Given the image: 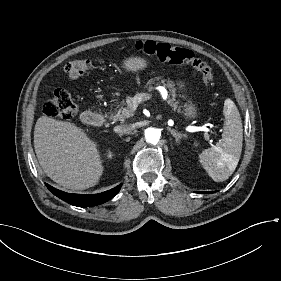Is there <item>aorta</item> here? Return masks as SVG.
Returning <instances> with one entry per match:
<instances>
[{
	"label": "aorta",
	"instance_id": "762f6f07",
	"mask_svg": "<svg viewBox=\"0 0 281 281\" xmlns=\"http://www.w3.org/2000/svg\"><path fill=\"white\" fill-rule=\"evenodd\" d=\"M160 136L161 134L159 130L155 128L150 127L145 130V139L147 143L156 145L159 142Z\"/></svg>",
	"mask_w": 281,
	"mask_h": 281
}]
</instances>
